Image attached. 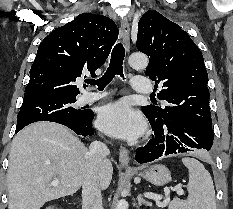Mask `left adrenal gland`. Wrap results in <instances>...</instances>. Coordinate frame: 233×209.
Masks as SVG:
<instances>
[{
	"label": "left adrenal gland",
	"mask_w": 233,
	"mask_h": 209,
	"mask_svg": "<svg viewBox=\"0 0 233 209\" xmlns=\"http://www.w3.org/2000/svg\"><path fill=\"white\" fill-rule=\"evenodd\" d=\"M137 201H138V205L141 206V205H145V206H151V203L150 202H147L145 201L141 195H139L137 197Z\"/></svg>",
	"instance_id": "left-adrenal-gland-1"
}]
</instances>
